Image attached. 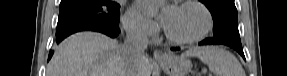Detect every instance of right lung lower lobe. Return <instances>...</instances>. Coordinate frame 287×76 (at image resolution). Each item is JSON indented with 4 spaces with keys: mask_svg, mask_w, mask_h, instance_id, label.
I'll return each instance as SVG.
<instances>
[{
    "mask_svg": "<svg viewBox=\"0 0 287 76\" xmlns=\"http://www.w3.org/2000/svg\"><path fill=\"white\" fill-rule=\"evenodd\" d=\"M84 30L98 31V32L104 33L110 37H116L119 34V25H117V26L93 25V26L81 27V28L66 32L64 34L58 35L57 36V42H60L61 40H63L67 36H69L70 34H73V33L78 32V31H84ZM52 55H53V51H50L48 60H50Z\"/></svg>",
    "mask_w": 287,
    "mask_h": 76,
    "instance_id": "1",
    "label": "right lung lower lobe"
}]
</instances>
